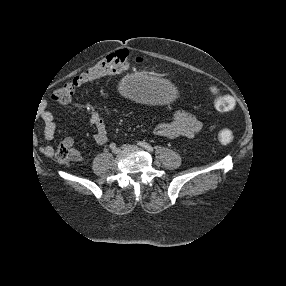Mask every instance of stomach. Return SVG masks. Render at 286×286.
<instances>
[{"label":"stomach","instance_id":"1","mask_svg":"<svg viewBox=\"0 0 286 286\" xmlns=\"http://www.w3.org/2000/svg\"><path fill=\"white\" fill-rule=\"evenodd\" d=\"M123 90L132 103L166 112L180 108L186 97L185 88L178 79L153 71L132 72L125 79Z\"/></svg>","mask_w":286,"mask_h":286}]
</instances>
